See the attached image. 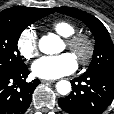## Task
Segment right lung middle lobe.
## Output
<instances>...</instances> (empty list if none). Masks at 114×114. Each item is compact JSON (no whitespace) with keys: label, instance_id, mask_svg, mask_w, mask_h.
Instances as JSON below:
<instances>
[{"label":"right lung middle lobe","instance_id":"1","mask_svg":"<svg viewBox=\"0 0 114 114\" xmlns=\"http://www.w3.org/2000/svg\"><path fill=\"white\" fill-rule=\"evenodd\" d=\"M48 14L0 18V74L12 73L25 66L17 48L18 39L27 26Z\"/></svg>","mask_w":114,"mask_h":114}]
</instances>
